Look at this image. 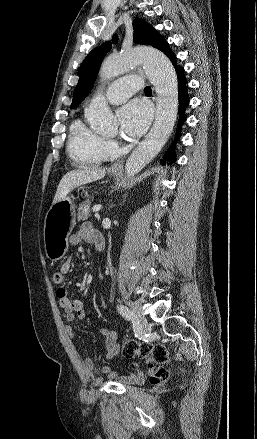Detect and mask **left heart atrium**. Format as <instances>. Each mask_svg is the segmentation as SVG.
I'll list each match as a JSON object with an SVG mask.
<instances>
[{
	"label": "left heart atrium",
	"instance_id": "39dd6f15",
	"mask_svg": "<svg viewBox=\"0 0 257 439\" xmlns=\"http://www.w3.org/2000/svg\"><path fill=\"white\" fill-rule=\"evenodd\" d=\"M120 133L123 137L134 139L141 136L151 120V109L147 103L134 100L118 111Z\"/></svg>",
	"mask_w": 257,
	"mask_h": 439
}]
</instances>
